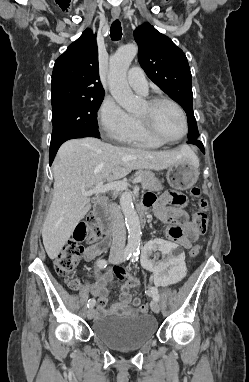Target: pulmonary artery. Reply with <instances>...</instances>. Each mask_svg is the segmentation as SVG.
Returning <instances> with one entry per match:
<instances>
[{"mask_svg":"<svg viewBox=\"0 0 249 382\" xmlns=\"http://www.w3.org/2000/svg\"><path fill=\"white\" fill-rule=\"evenodd\" d=\"M127 81L134 90L147 94L148 82L143 70L140 67L134 66L128 71Z\"/></svg>","mask_w":249,"mask_h":382,"instance_id":"e3ab8cb5","label":"pulmonary artery"}]
</instances>
